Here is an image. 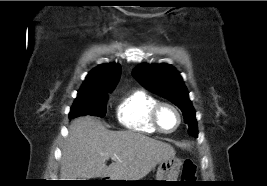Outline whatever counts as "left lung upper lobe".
Masks as SVG:
<instances>
[{"instance_id": "5c2ea615", "label": "left lung upper lobe", "mask_w": 267, "mask_h": 186, "mask_svg": "<svg viewBox=\"0 0 267 186\" xmlns=\"http://www.w3.org/2000/svg\"><path fill=\"white\" fill-rule=\"evenodd\" d=\"M132 73L145 88L179 107L185 123L189 125V134L197 137L195 111L182 77L174 67L168 64H141Z\"/></svg>"}]
</instances>
